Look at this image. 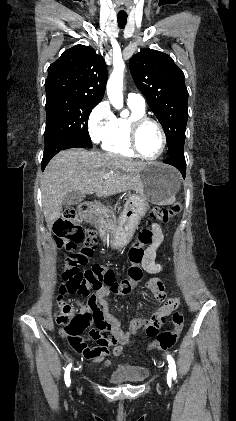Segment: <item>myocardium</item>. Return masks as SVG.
<instances>
[{"label":"myocardium","mask_w":236,"mask_h":421,"mask_svg":"<svg viewBox=\"0 0 236 421\" xmlns=\"http://www.w3.org/2000/svg\"><path fill=\"white\" fill-rule=\"evenodd\" d=\"M151 123L154 126H156V128L158 129L160 136H161V148L158 152V154L154 157H147L145 155H143L138 147V142H137V133H138V129L140 128V126L144 123ZM127 136H128V140L131 146V149L133 150V152L135 153V155L143 160H147V161H155L158 160L164 153L165 149H166V145H167V136H166V132L163 128V126L155 119L148 117L146 115H141V116H135L132 117L127 125Z\"/></svg>","instance_id":"obj_1"}]
</instances>
